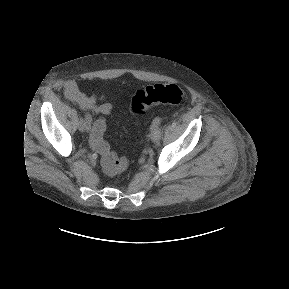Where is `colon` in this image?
I'll return each mask as SVG.
<instances>
[{
  "label": "colon",
  "instance_id": "1",
  "mask_svg": "<svg viewBox=\"0 0 289 289\" xmlns=\"http://www.w3.org/2000/svg\"><path fill=\"white\" fill-rule=\"evenodd\" d=\"M183 97V91L175 84L149 85L132 95L130 111L133 114H140L158 104L178 105ZM93 129L94 133L91 136L92 145L94 150L100 155V162L104 172L109 175H116L126 170L128 160L124 157H119L103 139L106 129L105 119H97Z\"/></svg>",
  "mask_w": 289,
  "mask_h": 289
}]
</instances>
